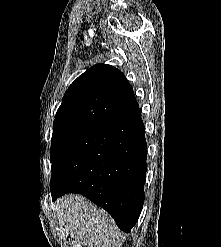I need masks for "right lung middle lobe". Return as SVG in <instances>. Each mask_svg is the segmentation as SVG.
I'll list each match as a JSON object with an SVG mask.
<instances>
[{
  "label": "right lung middle lobe",
  "instance_id": "1",
  "mask_svg": "<svg viewBox=\"0 0 221 247\" xmlns=\"http://www.w3.org/2000/svg\"><path fill=\"white\" fill-rule=\"evenodd\" d=\"M86 129L88 128L83 126H68L53 130L50 150L52 167L63 150Z\"/></svg>",
  "mask_w": 221,
  "mask_h": 247
}]
</instances>
